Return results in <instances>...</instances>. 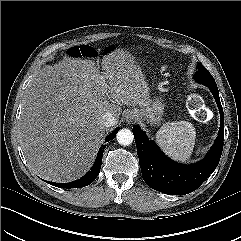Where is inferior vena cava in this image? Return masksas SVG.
<instances>
[{"mask_svg":"<svg viewBox=\"0 0 241 241\" xmlns=\"http://www.w3.org/2000/svg\"><path fill=\"white\" fill-rule=\"evenodd\" d=\"M116 118L110 112H106L101 119V125L108 128L116 124Z\"/></svg>","mask_w":241,"mask_h":241,"instance_id":"inferior-vena-cava-1","label":"inferior vena cava"}]
</instances>
